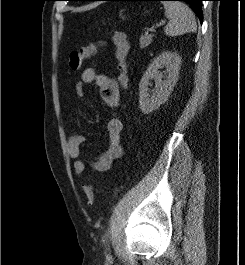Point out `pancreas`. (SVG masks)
<instances>
[{"label": "pancreas", "mask_w": 245, "mask_h": 265, "mask_svg": "<svg viewBox=\"0 0 245 265\" xmlns=\"http://www.w3.org/2000/svg\"><path fill=\"white\" fill-rule=\"evenodd\" d=\"M153 35H141L139 45L141 49L146 48L152 42Z\"/></svg>", "instance_id": "obj_1"}]
</instances>
